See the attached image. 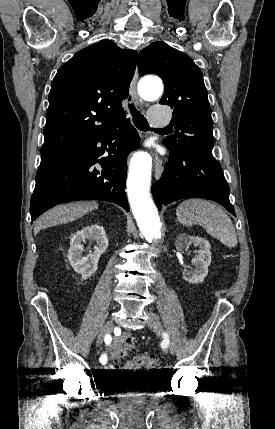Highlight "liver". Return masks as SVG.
<instances>
[{
  "label": "liver",
  "mask_w": 275,
  "mask_h": 429,
  "mask_svg": "<svg viewBox=\"0 0 275 429\" xmlns=\"http://www.w3.org/2000/svg\"><path fill=\"white\" fill-rule=\"evenodd\" d=\"M97 208L96 202H76L56 206L36 220L34 232L37 234L43 228L74 221Z\"/></svg>",
  "instance_id": "obj_1"
}]
</instances>
